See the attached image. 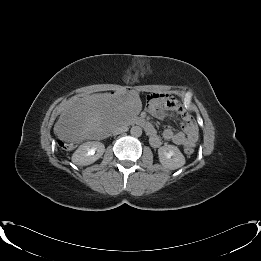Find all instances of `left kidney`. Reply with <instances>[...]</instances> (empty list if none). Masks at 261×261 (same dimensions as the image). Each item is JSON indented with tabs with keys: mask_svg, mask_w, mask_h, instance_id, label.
I'll list each match as a JSON object with an SVG mask.
<instances>
[{
	"mask_svg": "<svg viewBox=\"0 0 261 261\" xmlns=\"http://www.w3.org/2000/svg\"><path fill=\"white\" fill-rule=\"evenodd\" d=\"M159 161L165 168L175 170L182 167L186 160L179 148L174 145L162 146L158 149Z\"/></svg>",
	"mask_w": 261,
	"mask_h": 261,
	"instance_id": "1",
	"label": "left kidney"
}]
</instances>
